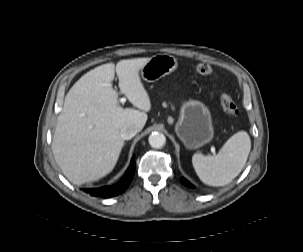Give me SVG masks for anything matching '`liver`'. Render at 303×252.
Segmentation results:
<instances>
[{
	"label": "liver",
	"instance_id": "obj_1",
	"mask_svg": "<svg viewBox=\"0 0 303 252\" xmlns=\"http://www.w3.org/2000/svg\"><path fill=\"white\" fill-rule=\"evenodd\" d=\"M151 58H135L103 64L84 74L67 93L57 118L52 142L54 158L66 178L80 185L109 174L119 158L124 140L120 130L135 126L141 131L151 102L139 71ZM119 87L133 106L122 108L112 87Z\"/></svg>",
	"mask_w": 303,
	"mask_h": 252
}]
</instances>
